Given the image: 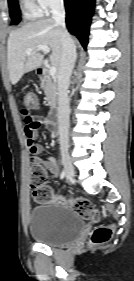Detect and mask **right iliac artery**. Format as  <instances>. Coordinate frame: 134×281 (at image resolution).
Here are the masks:
<instances>
[{
	"mask_svg": "<svg viewBox=\"0 0 134 281\" xmlns=\"http://www.w3.org/2000/svg\"><path fill=\"white\" fill-rule=\"evenodd\" d=\"M65 175H66V174H65V170H62L61 175H60V178L63 179V178L65 177Z\"/></svg>",
	"mask_w": 134,
	"mask_h": 281,
	"instance_id": "82829eb1",
	"label": "right iliac artery"
}]
</instances>
